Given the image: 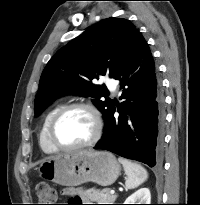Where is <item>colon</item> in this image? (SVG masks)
<instances>
[{"label":"colon","instance_id":"colon-1","mask_svg":"<svg viewBox=\"0 0 200 205\" xmlns=\"http://www.w3.org/2000/svg\"><path fill=\"white\" fill-rule=\"evenodd\" d=\"M35 192L40 204L38 205H55L57 199L56 190L46 182H38L35 185Z\"/></svg>","mask_w":200,"mask_h":205}]
</instances>
